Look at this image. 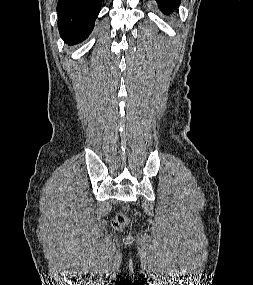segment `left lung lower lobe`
Here are the masks:
<instances>
[{
  "instance_id": "obj_1",
  "label": "left lung lower lobe",
  "mask_w": 253,
  "mask_h": 285,
  "mask_svg": "<svg viewBox=\"0 0 253 285\" xmlns=\"http://www.w3.org/2000/svg\"><path fill=\"white\" fill-rule=\"evenodd\" d=\"M160 9L165 14L174 11L180 4L181 0H156Z\"/></svg>"
}]
</instances>
